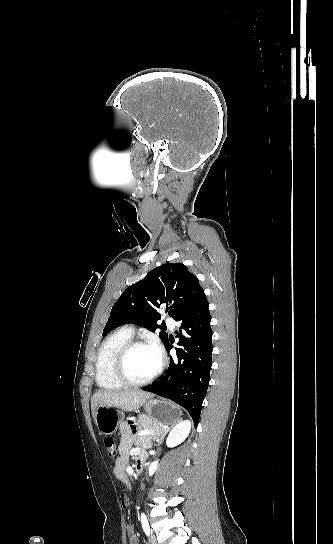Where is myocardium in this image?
Here are the masks:
<instances>
[{"label":"myocardium","mask_w":333,"mask_h":544,"mask_svg":"<svg viewBox=\"0 0 333 544\" xmlns=\"http://www.w3.org/2000/svg\"><path fill=\"white\" fill-rule=\"evenodd\" d=\"M137 346H151L156 349L159 355V365L157 369L155 370V372L148 378L141 381L132 380L128 376V373L126 370V361H127L128 355ZM164 366H165V359H164L163 353L155 342L149 339L131 338L130 340L125 342L121 346V348L118 350L114 359L113 370H114L115 377L123 385L130 386V387H143L152 383L154 380H156L157 377L162 373Z\"/></svg>","instance_id":"obj_1"}]
</instances>
